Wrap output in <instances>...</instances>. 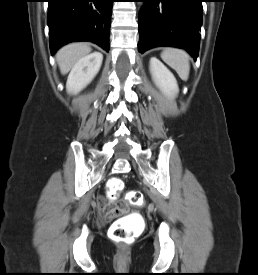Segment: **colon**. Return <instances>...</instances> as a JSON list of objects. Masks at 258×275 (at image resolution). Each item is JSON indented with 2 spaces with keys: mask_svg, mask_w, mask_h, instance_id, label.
Wrapping results in <instances>:
<instances>
[{
  "mask_svg": "<svg viewBox=\"0 0 258 275\" xmlns=\"http://www.w3.org/2000/svg\"><path fill=\"white\" fill-rule=\"evenodd\" d=\"M123 181L114 177L111 178L108 182V193L111 200H115L118 193L123 189ZM127 200L133 205H142L144 203V197L139 191H130L126 195ZM123 212L124 210H116L112 206L105 208L102 213L105 218L111 219L115 216L116 212ZM109 236L117 241L130 243L133 240V232L121 222V220L115 221L110 229Z\"/></svg>",
  "mask_w": 258,
  "mask_h": 275,
  "instance_id": "colon-1",
  "label": "colon"
}]
</instances>
